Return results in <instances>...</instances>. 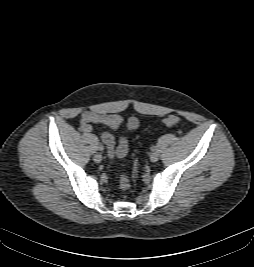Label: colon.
<instances>
[{
    "mask_svg": "<svg viewBox=\"0 0 254 267\" xmlns=\"http://www.w3.org/2000/svg\"><path fill=\"white\" fill-rule=\"evenodd\" d=\"M179 122V118L175 115H169L164 120L163 123L167 127H172ZM119 185L122 190H128L130 188V179L127 175L123 174L120 177Z\"/></svg>",
    "mask_w": 254,
    "mask_h": 267,
    "instance_id": "colon-1",
    "label": "colon"
}]
</instances>
